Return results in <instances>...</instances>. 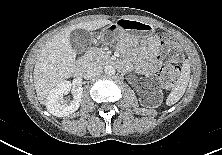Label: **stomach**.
I'll use <instances>...</instances> for the list:
<instances>
[{"label": "stomach", "mask_w": 222, "mask_h": 155, "mask_svg": "<svg viewBox=\"0 0 222 155\" xmlns=\"http://www.w3.org/2000/svg\"><path fill=\"white\" fill-rule=\"evenodd\" d=\"M153 25L129 18H120L116 23L105 27L99 38L104 44H113L120 40H130L133 45H138L154 34Z\"/></svg>", "instance_id": "stomach-1"}]
</instances>
